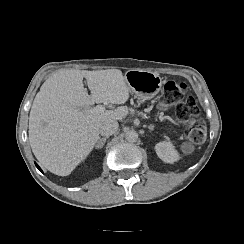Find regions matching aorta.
Instances as JSON below:
<instances>
[{
	"mask_svg": "<svg viewBox=\"0 0 244 244\" xmlns=\"http://www.w3.org/2000/svg\"><path fill=\"white\" fill-rule=\"evenodd\" d=\"M125 139L128 142L134 143L138 140V133L135 130H128L125 133Z\"/></svg>",
	"mask_w": 244,
	"mask_h": 244,
	"instance_id": "obj_1",
	"label": "aorta"
}]
</instances>
